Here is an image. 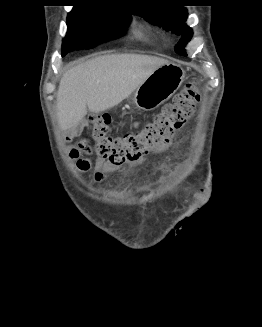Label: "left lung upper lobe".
Returning a JSON list of instances; mask_svg holds the SVG:
<instances>
[{
  "label": "left lung upper lobe",
  "mask_w": 262,
  "mask_h": 327,
  "mask_svg": "<svg viewBox=\"0 0 262 327\" xmlns=\"http://www.w3.org/2000/svg\"><path fill=\"white\" fill-rule=\"evenodd\" d=\"M145 2L150 4L132 6V12L152 24L182 36L175 47V51L179 55L186 56L184 47L193 35L192 29L185 23L188 17L187 10L183 6L156 4L161 2L152 0Z\"/></svg>",
  "instance_id": "left-lung-upper-lobe-1"
}]
</instances>
